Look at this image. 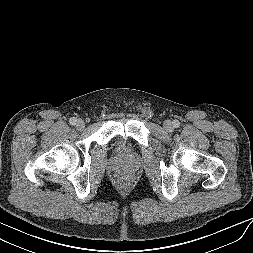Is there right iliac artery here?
Wrapping results in <instances>:
<instances>
[{"mask_svg":"<svg viewBox=\"0 0 253 253\" xmlns=\"http://www.w3.org/2000/svg\"><path fill=\"white\" fill-rule=\"evenodd\" d=\"M69 122L71 125H75L77 122V119L75 117H72V118H70Z\"/></svg>","mask_w":253,"mask_h":253,"instance_id":"1","label":"right iliac artery"}]
</instances>
